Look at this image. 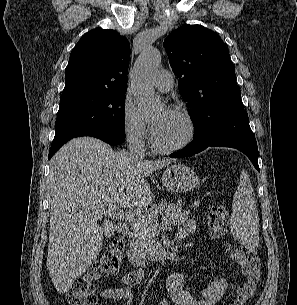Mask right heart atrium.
<instances>
[{"label":"right heart atrium","instance_id":"obj_1","mask_svg":"<svg viewBox=\"0 0 297 305\" xmlns=\"http://www.w3.org/2000/svg\"><path fill=\"white\" fill-rule=\"evenodd\" d=\"M121 126L123 135L131 147L141 149L145 146L149 134L148 127L128 95L122 104Z\"/></svg>","mask_w":297,"mask_h":305}]
</instances>
